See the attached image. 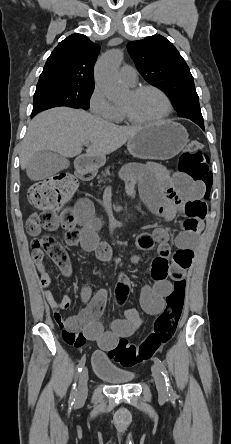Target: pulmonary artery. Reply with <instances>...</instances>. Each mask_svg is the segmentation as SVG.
<instances>
[{
  "label": "pulmonary artery",
  "instance_id": "1",
  "mask_svg": "<svg viewBox=\"0 0 231 444\" xmlns=\"http://www.w3.org/2000/svg\"><path fill=\"white\" fill-rule=\"evenodd\" d=\"M120 79L127 85L133 86L137 81V71L131 66H123L119 71Z\"/></svg>",
  "mask_w": 231,
  "mask_h": 444
}]
</instances>
